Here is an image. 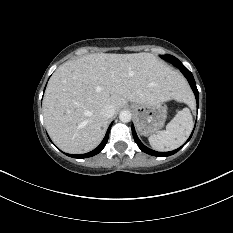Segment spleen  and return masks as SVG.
Segmentation results:
<instances>
[{
    "label": "spleen",
    "mask_w": 233,
    "mask_h": 233,
    "mask_svg": "<svg viewBox=\"0 0 233 233\" xmlns=\"http://www.w3.org/2000/svg\"><path fill=\"white\" fill-rule=\"evenodd\" d=\"M192 128L193 118L190 109L186 107L178 111L164 131L149 136L148 140L151 147L158 151H171L187 140Z\"/></svg>",
    "instance_id": "1"
}]
</instances>
